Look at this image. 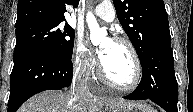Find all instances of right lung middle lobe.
Returning a JSON list of instances; mask_svg holds the SVG:
<instances>
[{"instance_id": "obj_1", "label": "right lung middle lobe", "mask_w": 193, "mask_h": 112, "mask_svg": "<svg viewBox=\"0 0 193 112\" xmlns=\"http://www.w3.org/2000/svg\"><path fill=\"white\" fill-rule=\"evenodd\" d=\"M74 30L69 24L38 23L16 29L14 60L38 50H50L67 59L72 58Z\"/></svg>"}]
</instances>
